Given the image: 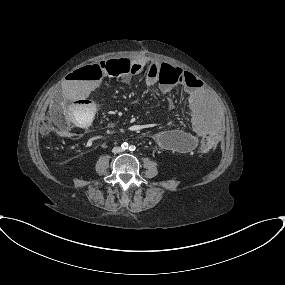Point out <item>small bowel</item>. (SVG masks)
<instances>
[{
    "label": "small bowel",
    "mask_w": 285,
    "mask_h": 285,
    "mask_svg": "<svg viewBox=\"0 0 285 285\" xmlns=\"http://www.w3.org/2000/svg\"><path fill=\"white\" fill-rule=\"evenodd\" d=\"M138 67V72L147 68L150 72L159 68V62L146 61L143 59L133 62ZM98 82L95 80L80 81L75 75L69 74L67 80L62 85L61 93L65 101L72 103V108L77 111L80 117L87 119L91 111L90 96L97 89ZM183 85L187 98V107L190 114V131L179 128H172L157 131L153 134V140L164 149L178 152H188L196 147H201L202 138L208 134H219L218 122L207 114L206 104L203 97V90L197 85L194 74L183 72ZM146 84L153 86L157 84L155 75H150L146 79ZM164 93L174 90L171 85H160ZM71 108V109H72ZM75 124L78 120L73 118ZM69 133H63L62 137H68Z\"/></svg>",
    "instance_id": "1"
}]
</instances>
